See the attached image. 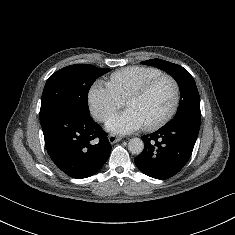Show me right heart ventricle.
<instances>
[{
    "mask_svg": "<svg viewBox=\"0 0 235 235\" xmlns=\"http://www.w3.org/2000/svg\"><path fill=\"white\" fill-rule=\"evenodd\" d=\"M161 74L156 68L132 66L114 72L108 84L118 97L125 101L131 93Z\"/></svg>",
    "mask_w": 235,
    "mask_h": 235,
    "instance_id": "obj_1",
    "label": "right heart ventricle"
}]
</instances>
